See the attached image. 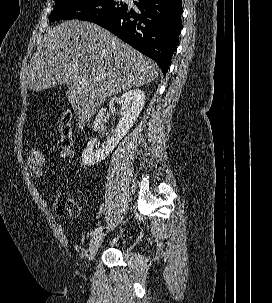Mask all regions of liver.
Instances as JSON below:
<instances>
[{
  "label": "liver",
  "instance_id": "1",
  "mask_svg": "<svg viewBox=\"0 0 272 303\" xmlns=\"http://www.w3.org/2000/svg\"><path fill=\"white\" fill-rule=\"evenodd\" d=\"M158 74L153 60L106 29L71 20L46 30L44 45L30 64L28 82L33 91L65 83L78 125L84 126L108 97L143 86Z\"/></svg>",
  "mask_w": 272,
  "mask_h": 303
}]
</instances>
